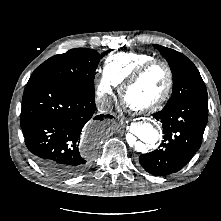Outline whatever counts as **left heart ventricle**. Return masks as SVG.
<instances>
[{"label":"left heart ventricle","instance_id":"left-heart-ventricle-1","mask_svg":"<svg viewBox=\"0 0 221 221\" xmlns=\"http://www.w3.org/2000/svg\"><path fill=\"white\" fill-rule=\"evenodd\" d=\"M167 73L163 66L150 68L142 78L127 91V101L135 107H146L155 102L165 91Z\"/></svg>","mask_w":221,"mask_h":221}]
</instances>
